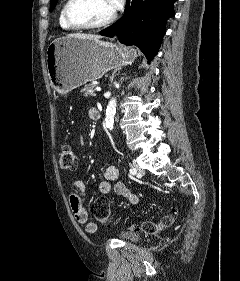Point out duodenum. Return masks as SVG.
Here are the masks:
<instances>
[{
    "mask_svg": "<svg viewBox=\"0 0 240 281\" xmlns=\"http://www.w3.org/2000/svg\"><path fill=\"white\" fill-rule=\"evenodd\" d=\"M96 119H100L101 118V114H100V112L98 111V110H96Z\"/></svg>",
    "mask_w": 240,
    "mask_h": 281,
    "instance_id": "410a0bca",
    "label": "duodenum"
}]
</instances>
